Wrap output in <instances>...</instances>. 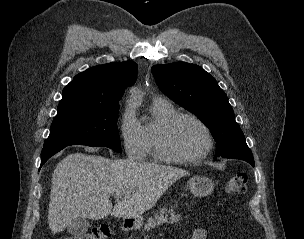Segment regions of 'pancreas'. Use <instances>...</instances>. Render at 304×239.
Masks as SVG:
<instances>
[{
  "label": "pancreas",
  "instance_id": "obj_1",
  "mask_svg": "<svg viewBox=\"0 0 304 239\" xmlns=\"http://www.w3.org/2000/svg\"><path fill=\"white\" fill-rule=\"evenodd\" d=\"M167 209L166 208H162L160 210V214H156L154 218H148L147 220V224L145 225V229L147 228H153L157 225L163 224V223H176L180 220V215L177 214L175 215V212L173 211V209H169L168 213L170 214V218L168 219V215L166 214Z\"/></svg>",
  "mask_w": 304,
  "mask_h": 239
}]
</instances>
